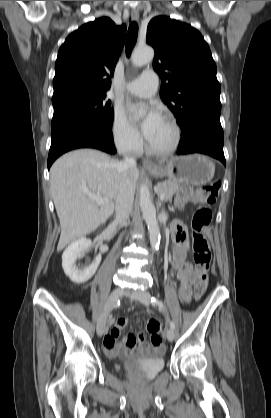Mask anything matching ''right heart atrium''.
<instances>
[{
    "mask_svg": "<svg viewBox=\"0 0 271 418\" xmlns=\"http://www.w3.org/2000/svg\"><path fill=\"white\" fill-rule=\"evenodd\" d=\"M111 135L117 149L126 154L136 153L142 138L139 132L128 122L123 111L115 109L111 122Z\"/></svg>",
    "mask_w": 271,
    "mask_h": 418,
    "instance_id": "right-heart-atrium-1",
    "label": "right heart atrium"
}]
</instances>
